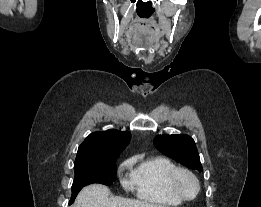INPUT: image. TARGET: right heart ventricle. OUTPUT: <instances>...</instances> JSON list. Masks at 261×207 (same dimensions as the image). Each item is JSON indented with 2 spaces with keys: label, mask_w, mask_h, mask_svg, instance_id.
Instances as JSON below:
<instances>
[{
  "label": "right heart ventricle",
  "mask_w": 261,
  "mask_h": 207,
  "mask_svg": "<svg viewBox=\"0 0 261 207\" xmlns=\"http://www.w3.org/2000/svg\"><path fill=\"white\" fill-rule=\"evenodd\" d=\"M129 163L133 166L132 178L138 198L164 206L181 204L182 201L170 192L167 185L168 175L177 168L170 159L134 156Z\"/></svg>",
  "instance_id": "1"
}]
</instances>
